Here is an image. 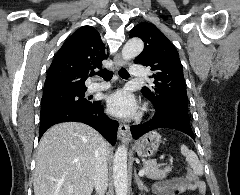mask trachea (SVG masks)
<instances>
[{
    "mask_svg": "<svg viewBox=\"0 0 240 195\" xmlns=\"http://www.w3.org/2000/svg\"><path fill=\"white\" fill-rule=\"evenodd\" d=\"M118 73L121 78H129V76H130L129 73L127 72V70H125V68H121V70H119ZM92 75H99L106 82H109V80H111V78L113 76V72H111L110 70H107V68H104L103 70H100L97 73L93 72Z\"/></svg>",
    "mask_w": 240,
    "mask_h": 195,
    "instance_id": "1",
    "label": "trachea"
}]
</instances>
